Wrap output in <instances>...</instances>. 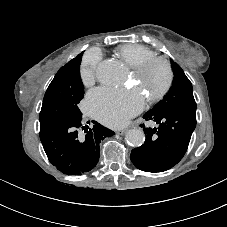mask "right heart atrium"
<instances>
[{"mask_svg": "<svg viewBox=\"0 0 227 227\" xmlns=\"http://www.w3.org/2000/svg\"><path fill=\"white\" fill-rule=\"evenodd\" d=\"M101 54L97 50L87 52L82 60L80 77L84 85H91L96 77Z\"/></svg>", "mask_w": 227, "mask_h": 227, "instance_id": "obj_1", "label": "right heart atrium"}]
</instances>
